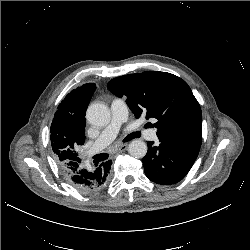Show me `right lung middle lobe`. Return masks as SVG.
<instances>
[{
  "instance_id": "dd1d6c3e",
  "label": "right lung middle lobe",
  "mask_w": 250,
  "mask_h": 250,
  "mask_svg": "<svg viewBox=\"0 0 250 250\" xmlns=\"http://www.w3.org/2000/svg\"><path fill=\"white\" fill-rule=\"evenodd\" d=\"M79 145H83L84 143L83 142H80L78 143ZM77 145V146H79ZM77 146L75 145H64L62 147H59L58 149H56L57 151H60V152H64V154L70 159V160H74V159H77L79 158L78 157V154L76 153V149H77Z\"/></svg>"
}]
</instances>
